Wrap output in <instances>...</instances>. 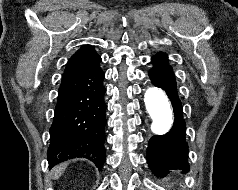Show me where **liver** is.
<instances>
[{"mask_svg": "<svg viewBox=\"0 0 238 190\" xmlns=\"http://www.w3.org/2000/svg\"><path fill=\"white\" fill-rule=\"evenodd\" d=\"M67 167V163H62L52 169V176L53 179H58L64 172L65 168Z\"/></svg>", "mask_w": 238, "mask_h": 190, "instance_id": "liver-1", "label": "liver"}]
</instances>
